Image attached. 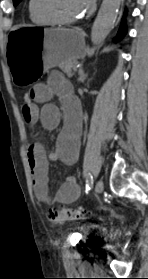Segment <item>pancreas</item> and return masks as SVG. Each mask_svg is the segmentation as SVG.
<instances>
[{"mask_svg":"<svg viewBox=\"0 0 148 279\" xmlns=\"http://www.w3.org/2000/svg\"><path fill=\"white\" fill-rule=\"evenodd\" d=\"M76 64H77L76 60H68V61L61 62L59 64V68L63 70V72L66 73L68 77H72L73 76L72 68Z\"/></svg>","mask_w":148,"mask_h":279,"instance_id":"1","label":"pancreas"}]
</instances>
